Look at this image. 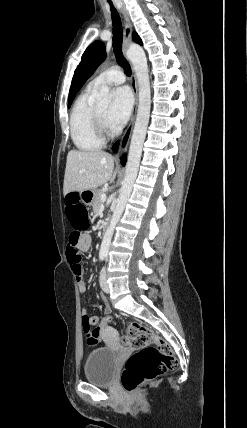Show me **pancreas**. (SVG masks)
<instances>
[{
  "instance_id": "1",
  "label": "pancreas",
  "mask_w": 247,
  "mask_h": 428,
  "mask_svg": "<svg viewBox=\"0 0 247 428\" xmlns=\"http://www.w3.org/2000/svg\"><path fill=\"white\" fill-rule=\"evenodd\" d=\"M103 194H105V191H103L102 189L96 190V195H95V199H94V202H93V211H94L95 214L99 213V209H100V206L102 204L101 196Z\"/></svg>"
}]
</instances>
